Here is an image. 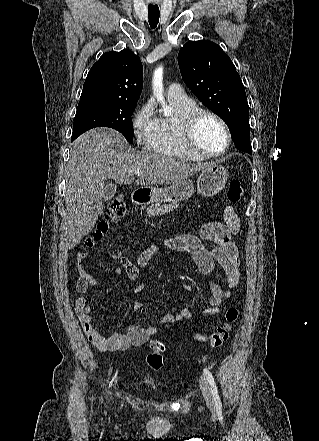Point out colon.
<instances>
[{
  "label": "colon",
  "mask_w": 319,
  "mask_h": 441,
  "mask_svg": "<svg viewBox=\"0 0 319 441\" xmlns=\"http://www.w3.org/2000/svg\"><path fill=\"white\" fill-rule=\"evenodd\" d=\"M245 190L240 181L232 180L228 185L227 198L232 203H238L244 199ZM126 205L122 196H115L108 205L106 218L100 223L92 238L88 239L87 245L91 246L95 242L102 239L108 232L109 226L115 223L125 213ZM238 317V309L230 308L226 313L225 321L220 324L209 336L206 338H199L212 348H219L226 343L230 337L234 323ZM152 352L147 356V364L153 370H159L164 364L163 352L164 344L158 340L150 341Z\"/></svg>",
  "instance_id": "5ec220e1"
}]
</instances>
